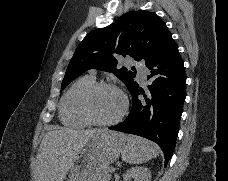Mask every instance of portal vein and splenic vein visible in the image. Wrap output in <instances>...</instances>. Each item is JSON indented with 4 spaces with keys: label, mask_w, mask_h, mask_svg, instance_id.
<instances>
[{
    "label": "portal vein and splenic vein",
    "mask_w": 228,
    "mask_h": 181,
    "mask_svg": "<svg viewBox=\"0 0 228 181\" xmlns=\"http://www.w3.org/2000/svg\"><path fill=\"white\" fill-rule=\"evenodd\" d=\"M117 170H118V167L117 166H112V168L110 169L111 174H116L117 173Z\"/></svg>",
    "instance_id": "portal-vein-and-splenic-vein-1"
}]
</instances>
